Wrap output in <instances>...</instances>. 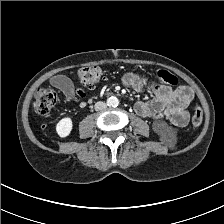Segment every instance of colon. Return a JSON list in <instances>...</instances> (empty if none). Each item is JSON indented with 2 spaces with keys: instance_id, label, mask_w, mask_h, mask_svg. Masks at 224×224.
<instances>
[{
  "instance_id": "1",
  "label": "colon",
  "mask_w": 224,
  "mask_h": 224,
  "mask_svg": "<svg viewBox=\"0 0 224 224\" xmlns=\"http://www.w3.org/2000/svg\"><path fill=\"white\" fill-rule=\"evenodd\" d=\"M102 69L96 65H88L82 67L78 71L79 80L88 86H92L97 83L102 77ZM159 81L168 84L175 85L177 78L166 70H159L157 72ZM58 103V95L56 91L51 87H41L37 90L34 98V109L39 115H47L50 110ZM203 120L202 108L199 104H195L192 112V124L199 126Z\"/></svg>"
}]
</instances>
